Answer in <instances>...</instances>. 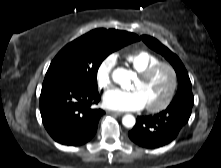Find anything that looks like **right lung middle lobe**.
I'll list each match as a JSON object with an SVG mask.
<instances>
[{"instance_id":"1","label":"right lung middle lobe","mask_w":221,"mask_h":168,"mask_svg":"<svg viewBox=\"0 0 221 168\" xmlns=\"http://www.w3.org/2000/svg\"><path fill=\"white\" fill-rule=\"evenodd\" d=\"M134 41L125 31L92 30L67 44L56 55L45 78L73 79L97 88V71L102 61Z\"/></svg>"}]
</instances>
